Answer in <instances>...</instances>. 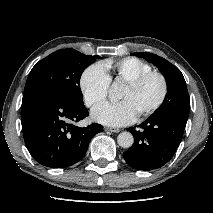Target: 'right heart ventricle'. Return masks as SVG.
Instances as JSON below:
<instances>
[{"mask_svg":"<svg viewBox=\"0 0 213 213\" xmlns=\"http://www.w3.org/2000/svg\"><path fill=\"white\" fill-rule=\"evenodd\" d=\"M102 66L110 81L122 80L127 82L142 73L152 70L149 63L136 57H126L114 62H106Z\"/></svg>","mask_w":213,"mask_h":213,"instance_id":"right-heart-ventricle-1","label":"right heart ventricle"}]
</instances>
